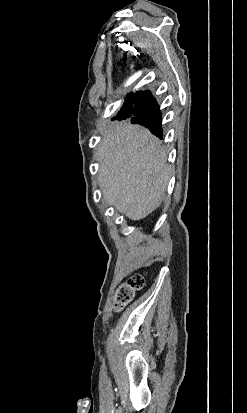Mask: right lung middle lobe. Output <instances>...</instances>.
Masks as SVG:
<instances>
[{
  "label": "right lung middle lobe",
  "instance_id": "obj_1",
  "mask_svg": "<svg viewBox=\"0 0 247 413\" xmlns=\"http://www.w3.org/2000/svg\"><path fill=\"white\" fill-rule=\"evenodd\" d=\"M133 98H134V95L131 94V95H128V98H127V99H133Z\"/></svg>",
  "mask_w": 247,
  "mask_h": 413
}]
</instances>
